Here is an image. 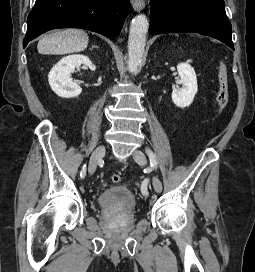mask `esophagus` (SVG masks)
<instances>
[{
  "instance_id": "obj_1",
  "label": "esophagus",
  "mask_w": 255,
  "mask_h": 272,
  "mask_svg": "<svg viewBox=\"0 0 255 272\" xmlns=\"http://www.w3.org/2000/svg\"><path fill=\"white\" fill-rule=\"evenodd\" d=\"M131 4L135 11H141L145 7L144 0H131Z\"/></svg>"
}]
</instances>
